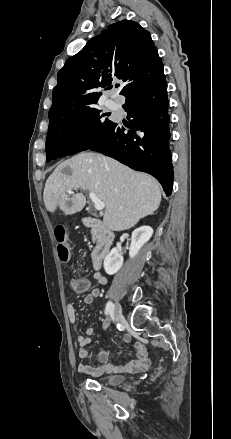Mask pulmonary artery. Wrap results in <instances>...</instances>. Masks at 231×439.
<instances>
[{"label":"pulmonary artery","mask_w":231,"mask_h":439,"mask_svg":"<svg viewBox=\"0 0 231 439\" xmlns=\"http://www.w3.org/2000/svg\"><path fill=\"white\" fill-rule=\"evenodd\" d=\"M107 106L111 109L115 108V103L113 101H108Z\"/></svg>","instance_id":"1"}]
</instances>
